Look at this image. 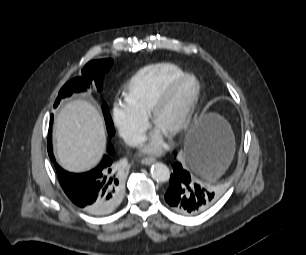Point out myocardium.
<instances>
[{
  "mask_svg": "<svg viewBox=\"0 0 306 255\" xmlns=\"http://www.w3.org/2000/svg\"><path fill=\"white\" fill-rule=\"evenodd\" d=\"M189 81L194 82L195 90L190 97L180 119L171 126L167 132L171 135H176L189 126L192 117L195 113L197 105L201 97V83L198 78L193 74H185L176 81H174L168 88H166L160 96L155 100L149 110V119L153 125H156L157 119L163 108L170 102L175 94Z\"/></svg>",
  "mask_w": 306,
  "mask_h": 255,
  "instance_id": "obj_1",
  "label": "myocardium"
}]
</instances>
